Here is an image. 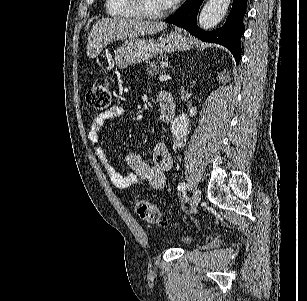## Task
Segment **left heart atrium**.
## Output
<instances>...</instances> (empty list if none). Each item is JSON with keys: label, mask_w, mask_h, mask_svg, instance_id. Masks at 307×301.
<instances>
[{"label": "left heart atrium", "mask_w": 307, "mask_h": 301, "mask_svg": "<svg viewBox=\"0 0 307 301\" xmlns=\"http://www.w3.org/2000/svg\"><path fill=\"white\" fill-rule=\"evenodd\" d=\"M183 0H161L162 4H182Z\"/></svg>", "instance_id": "obj_1"}]
</instances>
